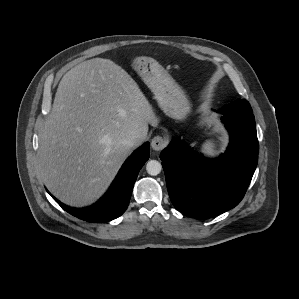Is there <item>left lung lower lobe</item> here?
<instances>
[{
    "instance_id": "0a47b994",
    "label": "left lung lower lobe",
    "mask_w": 299,
    "mask_h": 299,
    "mask_svg": "<svg viewBox=\"0 0 299 299\" xmlns=\"http://www.w3.org/2000/svg\"><path fill=\"white\" fill-rule=\"evenodd\" d=\"M222 114L230 143L218 158L206 160L178 140L172 141L160 155L174 207L194 218H210L238 205L257 166L253 113Z\"/></svg>"
}]
</instances>
